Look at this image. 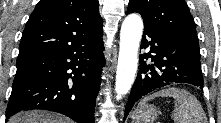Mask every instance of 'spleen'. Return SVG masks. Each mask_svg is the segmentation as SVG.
Listing matches in <instances>:
<instances>
[{
  "mask_svg": "<svg viewBox=\"0 0 221 123\" xmlns=\"http://www.w3.org/2000/svg\"><path fill=\"white\" fill-rule=\"evenodd\" d=\"M155 97H172L175 100L173 118L175 123H207L206 114L195 96L184 89L166 88L145 97L138 105L142 107Z\"/></svg>",
  "mask_w": 221,
  "mask_h": 123,
  "instance_id": "obj_1",
  "label": "spleen"
}]
</instances>
